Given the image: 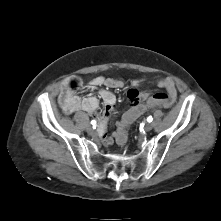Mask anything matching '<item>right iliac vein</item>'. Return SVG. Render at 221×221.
I'll return each instance as SVG.
<instances>
[{
    "mask_svg": "<svg viewBox=\"0 0 221 221\" xmlns=\"http://www.w3.org/2000/svg\"><path fill=\"white\" fill-rule=\"evenodd\" d=\"M87 132H88L89 134H93V133H94V129H93L91 126H88V127H87Z\"/></svg>",
    "mask_w": 221,
    "mask_h": 221,
    "instance_id": "1",
    "label": "right iliac vein"
}]
</instances>
